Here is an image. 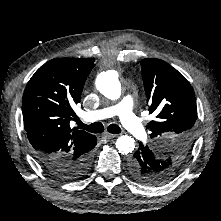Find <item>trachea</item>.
<instances>
[{
	"label": "trachea",
	"instance_id": "3493384b",
	"mask_svg": "<svg viewBox=\"0 0 221 221\" xmlns=\"http://www.w3.org/2000/svg\"><path fill=\"white\" fill-rule=\"evenodd\" d=\"M76 122H77L78 127L80 129H84V130L89 131L91 133H101L104 131V126L101 122H95L90 125H86V124L82 123L79 119H77ZM107 130L109 133H112V134L121 133V128L116 124H110L108 126Z\"/></svg>",
	"mask_w": 221,
	"mask_h": 221
}]
</instances>
